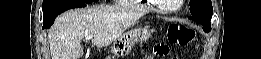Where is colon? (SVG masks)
Masks as SVG:
<instances>
[{
  "label": "colon",
  "mask_w": 261,
  "mask_h": 59,
  "mask_svg": "<svg viewBox=\"0 0 261 59\" xmlns=\"http://www.w3.org/2000/svg\"><path fill=\"white\" fill-rule=\"evenodd\" d=\"M166 38L171 44L186 46L194 40L195 32L187 26L171 24L167 27ZM168 53L169 46L165 43L157 44L153 49V56L155 58H164Z\"/></svg>",
  "instance_id": "1"
}]
</instances>
